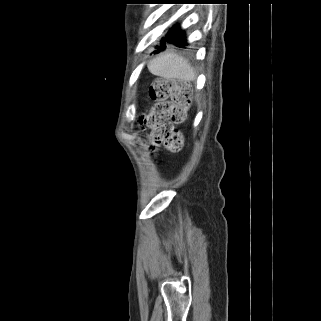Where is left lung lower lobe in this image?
Returning <instances> with one entry per match:
<instances>
[{
  "instance_id": "left-lung-lower-lobe-1",
  "label": "left lung lower lobe",
  "mask_w": 321,
  "mask_h": 321,
  "mask_svg": "<svg viewBox=\"0 0 321 321\" xmlns=\"http://www.w3.org/2000/svg\"><path fill=\"white\" fill-rule=\"evenodd\" d=\"M168 43L174 44L178 47H184L187 45L185 33L179 25L173 26L166 34L165 38L161 40L160 46H157L159 48L157 52L164 50Z\"/></svg>"
}]
</instances>
